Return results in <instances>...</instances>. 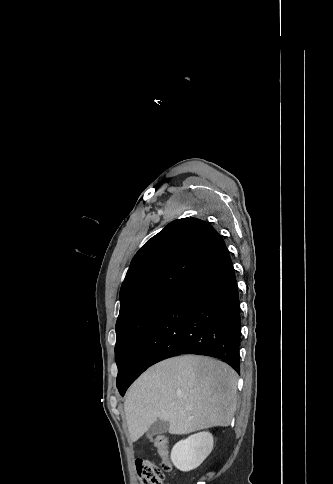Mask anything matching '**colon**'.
<instances>
[{
  "instance_id": "1",
  "label": "colon",
  "mask_w": 333,
  "mask_h": 484,
  "mask_svg": "<svg viewBox=\"0 0 333 484\" xmlns=\"http://www.w3.org/2000/svg\"><path fill=\"white\" fill-rule=\"evenodd\" d=\"M151 443L162 457V465L157 466L149 460H141L138 469L140 481L141 484H164L165 473L172 470L168 440L164 435H156L152 437Z\"/></svg>"
}]
</instances>
